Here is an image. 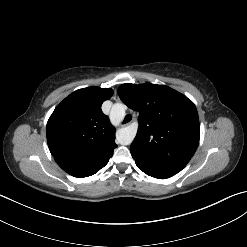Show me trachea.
I'll list each match as a JSON object with an SVG mask.
<instances>
[{
	"label": "trachea",
	"instance_id": "3493384b",
	"mask_svg": "<svg viewBox=\"0 0 247 247\" xmlns=\"http://www.w3.org/2000/svg\"><path fill=\"white\" fill-rule=\"evenodd\" d=\"M131 119H132V116L130 114H127L123 120V124L130 122Z\"/></svg>",
	"mask_w": 247,
	"mask_h": 247
}]
</instances>
